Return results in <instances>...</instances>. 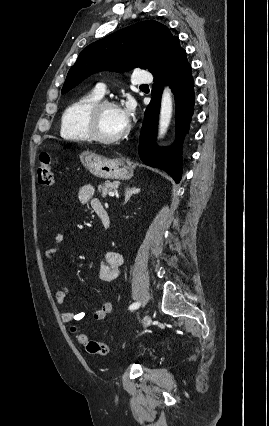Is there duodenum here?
Wrapping results in <instances>:
<instances>
[{
	"label": "duodenum",
	"mask_w": 269,
	"mask_h": 426,
	"mask_svg": "<svg viewBox=\"0 0 269 426\" xmlns=\"http://www.w3.org/2000/svg\"><path fill=\"white\" fill-rule=\"evenodd\" d=\"M95 212H96V214H97V216H98V218H99V220L102 224L103 229L108 230L110 228V225H111V220H110L109 214L106 211V209L103 206H101V207L96 208Z\"/></svg>",
	"instance_id": "obj_1"
}]
</instances>
